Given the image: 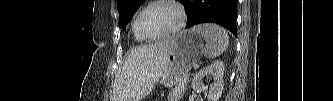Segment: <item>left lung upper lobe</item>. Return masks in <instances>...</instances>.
Instances as JSON below:
<instances>
[{
	"label": "left lung upper lobe",
	"mask_w": 333,
	"mask_h": 101,
	"mask_svg": "<svg viewBox=\"0 0 333 101\" xmlns=\"http://www.w3.org/2000/svg\"><path fill=\"white\" fill-rule=\"evenodd\" d=\"M145 0H118L117 6H118V12H119V22L122 30H124L127 26V24L132 19L133 15L139 8V6L144 2ZM182 1V0H178Z\"/></svg>",
	"instance_id": "obj_1"
}]
</instances>
